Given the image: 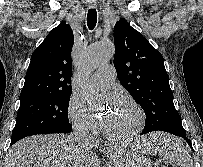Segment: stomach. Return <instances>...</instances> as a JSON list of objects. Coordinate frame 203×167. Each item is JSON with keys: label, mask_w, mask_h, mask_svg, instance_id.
Listing matches in <instances>:
<instances>
[{"label": "stomach", "mask_w": 203, "mask_h": 167, "mask_svg": "<svg viewBox=\"0 0 203 167\" xmlns=\"http://www.w3.org/2000/svg\"><path fill=\"white\" fill-rule=\"evenodd\" d=\"M142 151H146L145 148ZM113 167H153L151 161L137 151H125L117 156Z\"/></svg>", "instance_id": "stomach-1"}]
</instances>
